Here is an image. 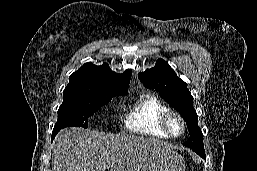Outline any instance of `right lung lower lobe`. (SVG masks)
Returning a JSON list of instances; mask_svg holds the SVG:
<instances>
[{
	"instance_id": "1",
	"label": "right lung lower lobe",
	"mask_w": 257,
	"mask_h": 171,
	"mask_svg": "<svg viewBox=\"0 0 257 171\" xmlns=\"http://www.w3.org/2000/svg\"><path fill=\"white\" fill-rule=\"evenodd\" d=\"M59 131H60L59 129H53L52 136H51L52 141H53L54 137L56 136V134H57Z\"/></svg>"
}]
</instances>
